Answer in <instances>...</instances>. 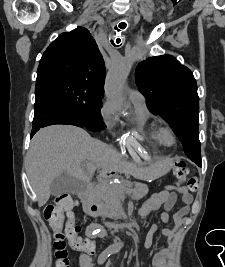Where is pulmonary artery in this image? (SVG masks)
<instances>
[{"instance_id":"1","label":"pulmonary artery","mask_w":225,"mask_h":267,"mask_svg":"<svg viewBox=\"0 0 225 267\" xmlns=\"http://www.w3.org/2000/svg\"><path fill=\"white\" fill-rule=\"evenodd\" d=\"M129 96L131 99H142V95L137 90L134 89H131L129 91Z\"/></svg>"}]
</instances>
